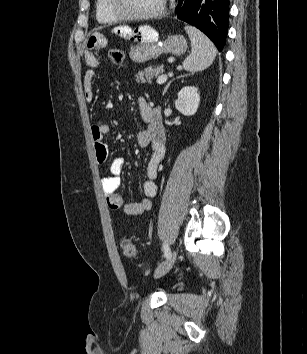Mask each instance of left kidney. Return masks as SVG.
Returning <instances> with one entry per match:
<instances>
[{"label":"left kidney","instance_id":"1","mask_svg":"<svg viewBox=\"0 0 307 354\" xmlns=\"http://www.w3.org/2000/svg\"><path fill=\"white\" fill-rule=\"evenodd\" d=\"M200 95L196 87L187 86L178 93L175 101L176 109L185 116H192L197 112Z\"/></svg>","mask_w":307,"mask_h":354}]
</instances>
